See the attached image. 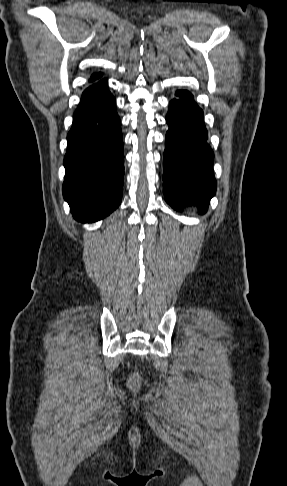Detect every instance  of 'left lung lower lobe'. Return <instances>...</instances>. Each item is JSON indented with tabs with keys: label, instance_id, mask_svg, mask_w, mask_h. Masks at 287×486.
<instances>
[{
	"label": "left lung lower lobe",
	"instance_id": "1",
	"mask_svg": "<svg viewBox=\"0 0 287 486\" xmlns=\"http://www.w3.org/2000/svg\"><path fill=\"white\" fill-rule=\"evenodd\" d=\"M170 101L166 121L163 186L166 202L179 210L186 205L207 208L216 192L214 154L207 143L203 111L186 90Z\"/></svg>",
	"mask_w": 287,
	"mask_h": 486
}]
</instances>
